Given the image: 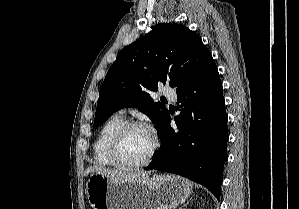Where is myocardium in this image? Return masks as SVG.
I'll return each mask as SVG.
<instances>
[{"label": "myocardium", "instance_id": "1", "mask_svg": "<svg viewBox=\"0 0 299 209\" xmlns=\"http://www.w3.org/2000/svg\"><path fill=\"white\" fill-rule=\"evenodd\" d=\"M133 128H140L146 131L151 139V148L147 156L140 162L126 163L119 158L120 141L124 134ZM159 148V140L154 130L146 123L141 121H126L113 134L109 145V156L115 167L122 169H138L147 166L157 153Z\"/></svg>", "mask_w": 299, "mask_h": 209}]
</instances>
